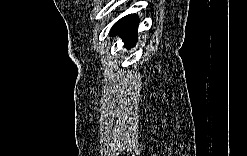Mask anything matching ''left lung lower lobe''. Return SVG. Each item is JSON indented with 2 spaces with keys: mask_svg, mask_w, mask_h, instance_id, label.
<instances>
[{
  "mask_svg": "<svg viewBox=\"0 0 247 156\" xmlns=\"http://www.w3.org/2000/svg\"><path fill=\"white\" fill-rule=\"evenodd\" d=\"M138 17L135 14L128 15L115 23L110 31L111 36H122L124 46L130 49L137 42Z\"/></svg>",
  "mask_w": 247,
  "mask_h": 156,
  "instance_id": "obj_1",
  "label": "left lung lower lobe"
}]
</instances>
